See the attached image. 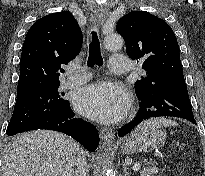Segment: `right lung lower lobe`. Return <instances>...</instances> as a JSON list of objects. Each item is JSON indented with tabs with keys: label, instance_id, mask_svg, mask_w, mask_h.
<instances>
[{
	"label": "right lung lower lobe",
	"instance_id": "98d812e1",
	"mask_svg": "<svg viewBox=\"0 0 205 176\" xmlns=\"http://www.w3.org/2000/svg\"><path fill=\"white\" fill-rule=\"evenodd\" d=\"M36 129L63 132L77 140L89 151H95L99 144L97 129L83 119L75 118L69 102L60 108H54L38 117L18 133Z\"/></svg>",
	"mask_w": 205,
	"mask_h": 176
}]
</instances>
